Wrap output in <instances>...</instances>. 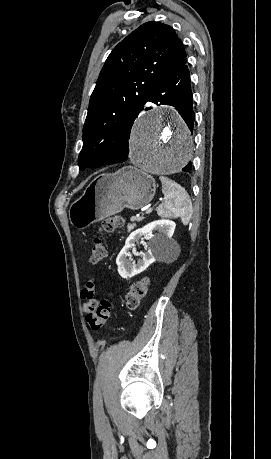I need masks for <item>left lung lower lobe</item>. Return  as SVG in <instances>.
Masks as SVG:
<instances>
[{
	"mask_svg": "<svg viewBox=\"0 0 271 459\" xmlns=\"http://www.w3.org/2000/svg\"><path fill=\"white\" fill-rule=\"evenodd\" d=\"M192 91L190 83V71L187 63L180 67L169 78L162 82L148 97L147 102L157 105H172L179 112L187 123L190 130H193L195 114L192 107ZM130 136V133H129ZM129 150L125 155L112 163L124 162L128 159ZM110 163V164H112ZM191 170V163L182 169L184 172Z\"/></svg>",
	"mask_w": 271,
	"mask_h": 459,
	"instance_id": "left-lung-lower-lobe-1",
	"label": "left lung lower lobe"
}]
</instances>
